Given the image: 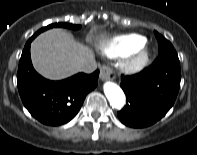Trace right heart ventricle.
Here are the masks:
<instances>
[{
    "mask_svg": "<svg viewBox=\"0 0 197 155\" xmlns=\"http://www.w3.org/2000/svg\"><path fill=\"white\" fill-rule=\"evenodd\" d=\"M146 39L138 34L115 36L102 45V52L110 58L121 57L134 52L145 44Z\"/></svg>",
    "mask_w": 197,
    "mask_h": 155,
    "instance_id": "right-heart-ventricle-1",
    "label": "right heart ventricle"
}]
</instances>
